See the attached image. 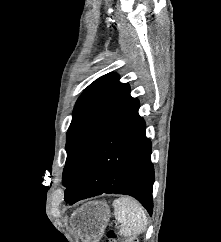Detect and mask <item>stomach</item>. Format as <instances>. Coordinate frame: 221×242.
I'll return each instance as SVG.
<instances>
[{
    "label": "stomach",
    "mask_w": 221,
    "mask_h": 242,
    "mask_svg": "<svg viewBox=\"0 0 221 242\" xmlns=\"http://www.w3.org/2000/svg\"><path fill=\"white\" fill-rule=\"evenodd\" d=\"M110 219V208L104 201H91L73 214V229L82 242H98Z\"/></svg>",
    "instance_id": "stomach-1"
}]
</instances>
